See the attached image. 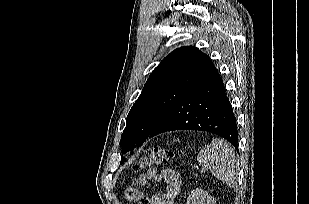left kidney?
<instances>
[{
	"mask_svg": "<svg viewBox=\"0 0 309 204\" xmlns=\"http://www.w3.org/2000/svg\"><path fill=\"white\" fill-rule=\"evenodd\" d=\"M186 204H216V200L207 191L195 189L188 196Z\"/></svg>",
	"mask_w": 309,
	"mask_h": 204,
	"instance_id": "1",
	"label": "left kidney"
}]
</instances>
